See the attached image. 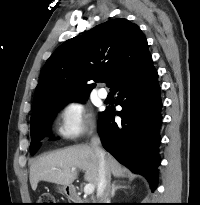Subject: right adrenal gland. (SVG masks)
<instances>
[{
	"label": "right adrenal gland",
	"mask_w": 200,
	"mask_h": 205,
	"mask_svg": "<svg viewBox=\"0 0 200 205\" xmlns=\"http://www.w3.org/2000/svg\"><path fill=\"white\" fill-rule=\"evenodd\" d=\"M127 188H128L127 186L117 184V181H114L111 184V198L114 197L116 190H118V189H127Z\"/></svg>",
	"instance_id": "1"
}]
</instances>
